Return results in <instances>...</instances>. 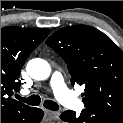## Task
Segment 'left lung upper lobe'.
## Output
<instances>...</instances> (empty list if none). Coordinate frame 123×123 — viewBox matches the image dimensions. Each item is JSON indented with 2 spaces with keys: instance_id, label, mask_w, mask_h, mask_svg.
<instances>
[{
  "instance_id": "1",
  "label": "left lung upper lobe",
  "mask_w": 123,
  "mask_h": 123,
  "mask_svg": "<svg viewBox=\"0 0 123 123\" xmlns=\"http://www.w3.org/2000/svg\"><path fill=\"white\" fill-rule=\"evenodd\" d=\"M46 44L66 62L72 85L85 86V107L123 116V52L108 36L75 25L56 31Z\"/></svg>"
}]
</instances>
